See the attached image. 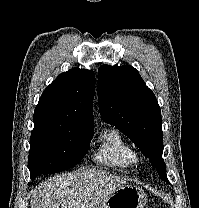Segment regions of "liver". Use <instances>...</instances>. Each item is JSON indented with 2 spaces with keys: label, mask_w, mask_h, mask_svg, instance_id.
<instances>
[{
  "label": "liver",
  "mask_w": 199,
  "mask_h": 208,
  "mask_svg": "<svg viewBox=\"0 0 199 208\" xmlns=\"http://www.w3.org/2000/svg\"><path fill=\"white\" fill-rule=\"evenodd\" d=\"M127 179L104 170L79 169L55 175L32 191L31 208H94Z\"/></svg>",
  "instance_id": "liver-1"
}]
</instances>
